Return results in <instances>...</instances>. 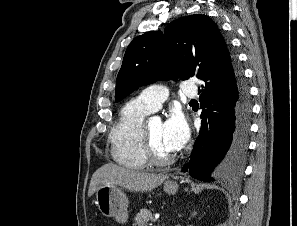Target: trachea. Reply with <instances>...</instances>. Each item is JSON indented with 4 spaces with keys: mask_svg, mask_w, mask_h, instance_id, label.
Here are the masks:
<instances>
[{
    "mask_svg": "<svg viewBox=\"0 0 297 226\" xmlns=\"http://www.w3.org/2000/svg\"><path fill=\"white\" fill-rule=\"evenodd\" d=\"M196 102V100H191V103H195Z\"/></svg>",
    "mask_w": 297,
    "mask_h": 226,
    "instance_id": "obj_1",
    "label": "trachea"
}]
</instances>
